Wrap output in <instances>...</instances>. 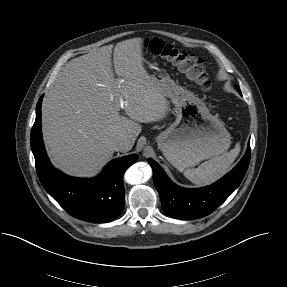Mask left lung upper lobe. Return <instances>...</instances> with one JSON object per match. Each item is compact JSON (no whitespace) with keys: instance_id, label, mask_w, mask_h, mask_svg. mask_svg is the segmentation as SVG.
Segmentation results:
<instances>
[{"instance_id":"obj_1","label":"left lung upper lobe","mask_w":287,"mask_h":287,"mask_svg":"<svg viewBox=\"0 0 287 287\" xmlns=\"http://www.w3.org/2000/svg\"><path fill=\"white\" fill-rule=\"evenodd\" d=\"M235 88L238 90L239 93H241V91H240V89L238 87H235Z\"/></svg>"}]
</instances>
